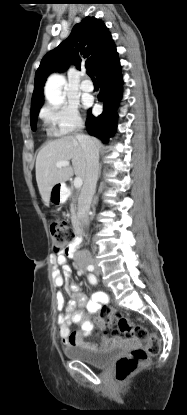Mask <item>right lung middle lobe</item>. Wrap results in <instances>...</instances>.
<instances>
[{
  "instance_id": "obj_1",
  "label": "right lung middle lobe",
  "mask_w": 187,
  "mask_h": 415,
  "mask_svg": "<svg viewBox=\"0 0 187 415\" xmlns=\"http://www.w3.org/2000/svg\"><path fill=\"white\" fill-rule=\"evenodd\" d=\"M40 108L36 109L35 111L31 112L30 122H31V128L33 131L36 129V122H37V116L39 113Z\"/></svg>"
}]
</instances>
